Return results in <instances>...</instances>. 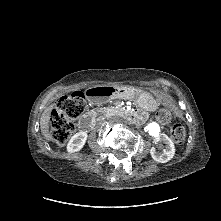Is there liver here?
Masks as SVG:
<instances>
[{"label":"liver","mask_w":221,"mask_h":221,"mask_svg":"<svg viewBox=\"0 0 221 221\" xmlns=\"http://www.w3.org/2000/svg\"><path fill=\"white\" fill-rule=\"evenodd\" d=\"M52 109L53 105L46 107L40 118L41 133L47 141L53 140L52 133L49 131V123H50Z\"/></svg>","instance_id":"liver-1"}]
</instances>
